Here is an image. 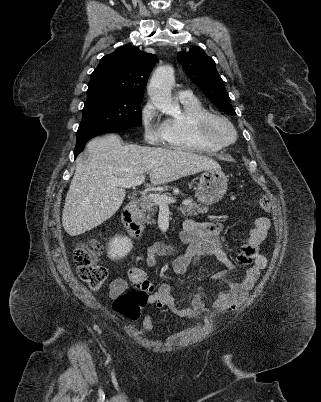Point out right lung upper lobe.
<instances>
[{
    "mask_svg": "<svg viewBox=\"0 0 321 402\" xmlns=\"http://www.w3.org/2000/svg\"><path fill=\"white\" fill-rule=\"evenodd\" d=\"M156 57L133 46H122L105 55L91 75L88 91L143 98Z\"/></svg>",
    "mask_w": 321,
    "mask_h": 402,
    "instance_id": "right-lung-upper-lobe-1",
    "label": "right lung upper lobe"
}]
</instances>
